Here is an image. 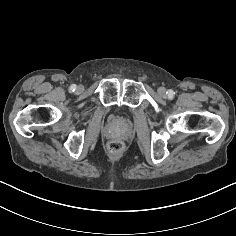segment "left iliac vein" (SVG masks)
<instances>
[{"mask_svg":"<svg viewBox=\"0 0 236 236\" xmlns=\"http://www.w3.org/2000/svg\"><path fill=\"white\" fill-rule=\"evenodd\" d=\"M157 91H158V94L160 96H162V97L166 96L167 91H166V89L164 87H159Z\"/></svg>","mask_w":236,"mask_h":236,"instance_id":"left-iliac-vein-1","label":"left iliac vein"}]
</instances>
